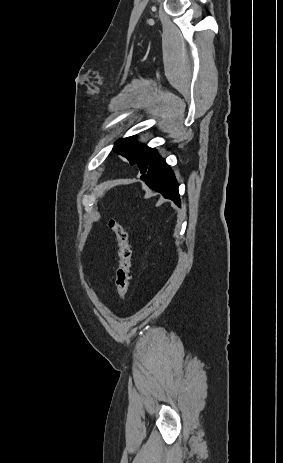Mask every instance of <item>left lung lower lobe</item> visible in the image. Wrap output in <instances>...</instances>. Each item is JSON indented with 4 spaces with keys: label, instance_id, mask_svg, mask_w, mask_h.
Segmentation results:
<instances>
[{
    "label": "left lung lower lobe",
    "instance_id": "1",
    "mask_svg": "<svg viewBox=\"0 0 283 463\" xmlns=\"http://www.w3.org/2000/svg\"><path fill=\"white\" fill-rule=\"evenodd\" d=\"M136 164L142 174L141 179L149 187L180 206L178 184L174 174L154 148H148Z\"/></svg>",
    "mask_w": 283,
    "mask_h": 463
}]
</instances>
